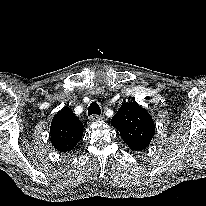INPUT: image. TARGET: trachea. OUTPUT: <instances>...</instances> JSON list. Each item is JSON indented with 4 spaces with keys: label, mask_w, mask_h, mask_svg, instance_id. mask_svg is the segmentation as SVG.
<instances>
[{
    "label": "trachea",
    "mask_w": 206,
    "mask_h": 206,
    "mask_svg": "<svg viewBox=\"0 0 206 206\" xmlns=\"http://www.w3.org/2000/svg\"><path fill=\"white\" fill-rule=\"evenodd\" d=\"M101 109L96 101H93L88 108V115H100Z\"/></svg>",
    "instance_id": "3493384b"
}]
</instances>
